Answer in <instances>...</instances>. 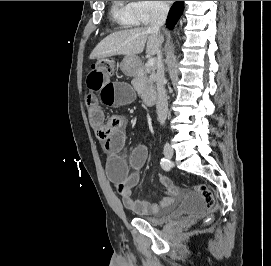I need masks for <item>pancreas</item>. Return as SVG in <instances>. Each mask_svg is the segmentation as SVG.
Wrapping results in <instances>:
<instances>
[{"mask_svg":"<svg viewBox=\"0 0 271 266\" xmlns=\"http://www.w3.org/2000/svg\"><path fill=\"white\" fill-rule=\"evenodd\" d=\"M155 79V68L145 65L144 74L136 76L132 80V85L139 95H143L146 89L154 86Z\"/></svg>","mask_w":271,"mask_h":266,"instance_id":"cf45deb5","label":"pancreas"}]
</instances>
